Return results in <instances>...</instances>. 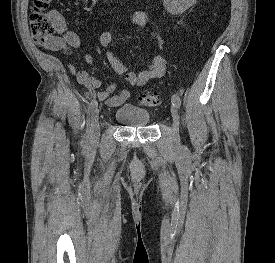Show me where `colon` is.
<instances>
[{
    "label": "colon",
    "instance_id": "1",
    "mask_svg": "<svg viewBox=\"0 0 275 263\" xmlns=\"http://www.w3.org/2000/svg\"><path fill=\"white\" fill-rule=\"evenodd\" d=\"M52 0H33L30 13V27L33 39L39 44H45L55 37L57 27L47 10ZM140 105L149 108H156L162 105V98L156 93L140 94L137 97Z\"/></svg>",
    "mask_w": 275,
    "mask_h": 263
}]
</instances>
